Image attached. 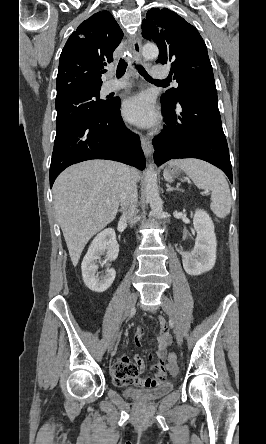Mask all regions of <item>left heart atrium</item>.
I'll list each match as a JSON object with an SVG mask.
<instances>
[{
    "mask_svg": "<svg viewBox=\"0 0 266 444\" xmlns=\"http://www.w3.org/2000/svg\"><path fill=\"white\" fill-rule=\"evenodd\" d=\"M122 111L128 121L141 127L152 126L157 121L152 99L147 94L128 98L123 104Z\"/></svg>",
    "mask_w": 266,
    "mask_h": 444,
    "instance_id": "obj_1",
    "label": "left heart atrium"
}]
</instances>
